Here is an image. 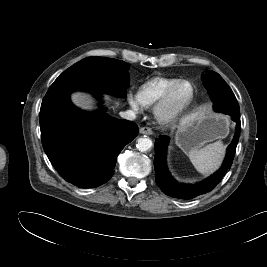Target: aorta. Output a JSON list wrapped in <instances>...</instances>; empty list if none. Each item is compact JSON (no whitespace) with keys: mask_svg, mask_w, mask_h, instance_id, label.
<instances>
[{"mask_svg":"<svg viewBox=\"0 0 267 267\" xmlns=\"http://www.w3.org/2000/svg\"><path fill=\"white\" fill-rule=\"evenodd\" d=\"M152 140L149 138H139L137 140V149L141 152H146L152 147Z\"/></svg>","mask_w":267,"mask_h":267,"instance_id":"obj_1","label":"aorta"}]
</instances>
